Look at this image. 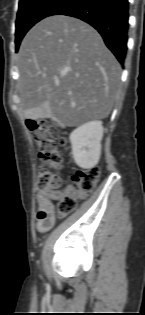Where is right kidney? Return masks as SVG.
<instances>
[{"mask_svg":"<svg viewBox=\"0 0 145 315\" xmlns=\"http://www.w3.org/2000/svg\"><path fill=\"white\" fill-rule=\"evenodd\" d=\"M103 126L101 121H90L70 134L72 155L75 163L83 168L94 167L100 158Z\"/></svg>","mask_w":145,"mask_h":315,"instance_id":"1","label":"right kidney"}]
</instances>
